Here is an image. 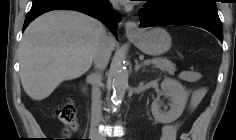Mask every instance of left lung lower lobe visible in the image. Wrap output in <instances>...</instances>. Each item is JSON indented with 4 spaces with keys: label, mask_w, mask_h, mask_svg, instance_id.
<instances>
[{
    "label": "left lung lower lobe",
    "mask_w": 236,
    "mask_h": 140,
    "mask_svg": "<svg viewBox=\"0 0 236 140\" xmlns=\"http://www.w3.org/2000/svg\"><path fill=\"white\" fill-rule=\"evenodd\" d=\"M140 26L191 25L208 30L223 42V29L217 9L190 4L168 7L152 2L139 11Z\"/></svg>",
    "instance_id": "left-lung-lower-lobe-1"
}]
</instances>
